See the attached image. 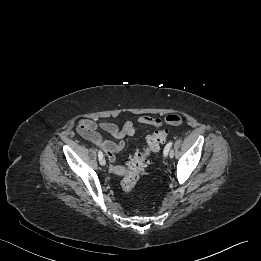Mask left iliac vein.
Listing matches in <instances>:
<instances>
[{"instance_id":"left-iliac-vein-1","label":"left iliac vein","mask_w":261,"mask_h":261,"mask_svg":"<svg viewBox=\"0 0 261 261\" xmlns=\"http://www.w3.org/2000/svg\"><path fill=\"white\" fill-rule=\"evenodd\" d=\"M166 156H167V155H166ZM166 156H165V157H166ZM169 156H170L171 158L174 156L173 150L170 151Z\"/></svg>"}]
</instances>
